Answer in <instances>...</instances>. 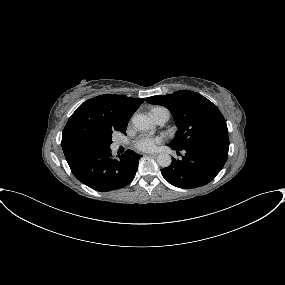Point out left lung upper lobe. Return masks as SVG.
<instances>
[{"label": "left lung upper lobe", "mask_w": 285, "mask_h": 285, "mask_svg": "<svg viewBox=\"0 0 285 285\" xmlns=\"http://www.w3.org/2000/svg\"><path fill=\"white\" fill-rule=\"evenodd\" d=\"M150 104L168 108L178 131L171 148L185 149L198 145H214L229 149L228 128L219 109L204 96L180 90L165 96L148 97Z\"/></svg>", "instance_id": "left-lung-upper-lobe-1"}]
</instances>
